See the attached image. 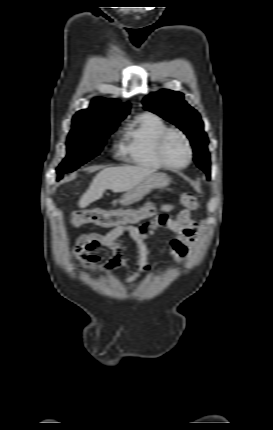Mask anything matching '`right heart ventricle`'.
Segmentation results:
<instances>
[{"label": "right heart ventricle", "mask_w": 273, "mask_h": 430, "mask_svg": "<svg viewBox=\"0 0 273 430\" xmlns=\"http://www.w3.org/2000/svg\"><path fill=\"white\" fill-rule=\"evenodd\" d=\"M170 127L154 113H142L127 125L122 137V154L138 166L162 169L165 166L157 156L156 144L162 132Z\"/></svg>", "instance_id": "1"}]
</instances>
